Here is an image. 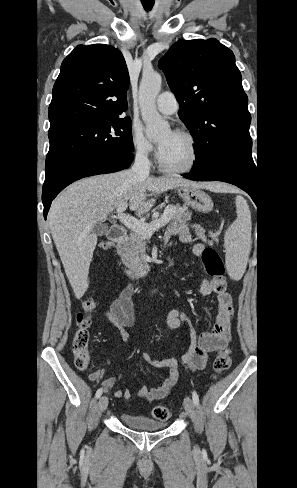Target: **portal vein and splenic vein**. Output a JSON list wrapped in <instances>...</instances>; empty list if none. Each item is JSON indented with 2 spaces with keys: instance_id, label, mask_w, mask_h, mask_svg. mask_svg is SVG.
<instances>
[{
  "instance_id": "portal-vein-and-splenic-vein-1",
  "label": "portal vein and splenic vein",
  "mask_w": 297,
  "mask_h": 488,
  "mask_svg": "<svg viewBox=\"0 0 297 488\" xmlns=\"http://www.w3.org/2000/svg\"><path fill=\"white\" fill-rule=\"evenodd\" d=\"M127 207V202H124L117 207L116 211L118 218L127 228L144 235L146 238H150L155 230L165 226L170 221L169 213L172 211V206H167L160 218H156L150 223L142 222L133 216L124 214L123 212Z\"/></svg>"
}]
</instances>
